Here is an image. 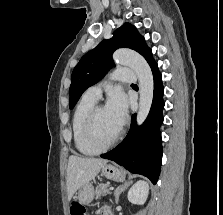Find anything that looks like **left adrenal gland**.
I'll use <instances>...</instances> for the list:
<instances>
[{"instance_id":"1","label":"left adrenal gland","mask_w":223,"mask_h":215,"mask_svg":"<svg viewBox=\"0 0 223 215\" xmlns=\"http://www.w3.org/2000/svg\"><path fill=\"white\" fill-rule=\"evenodd\" d=\"M130 183H132V181H124V183H122V185H118V187H116V189H114L115 203H118L120 193H122V191H124V189H127V187H129Z\"/></svg>"}]
</instances>
